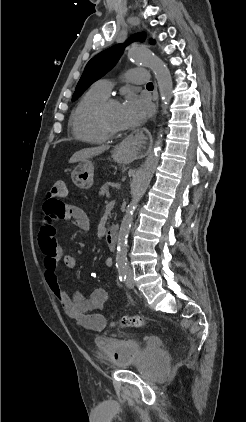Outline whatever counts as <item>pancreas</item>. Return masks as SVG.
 <instances>
[{
  "instance_id": "pancreas-1",
  "label": "pancreas",
  "mask_w": 246,
  "mask_h": 422,
  "mask_svg": "<svg viewBox=\"0 0 246 422\" xmlns=\"http://www.w3.org/2000/svg\"><path fill=\"white\" fill-rule=\"evenodd\" d=\"M108 184H104L99 191V196H104L108 192Z\"/></svg>"
}]
</instances>
